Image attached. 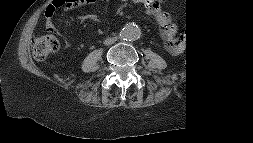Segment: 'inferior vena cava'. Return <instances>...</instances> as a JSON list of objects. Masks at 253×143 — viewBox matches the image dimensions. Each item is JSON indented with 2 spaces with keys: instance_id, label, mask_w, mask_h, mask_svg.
<instances>
[{
  "instance_id": "602c4592",
  "label": "inferior vena cava",
  "mask_w": 253,
  "mask_h": 143,
  "mask_svg": "<svg viewBox=\"0 0 253 143\" xmlns=\"http://www.w3.org/2000/svg\"><path fill=\"white\" fill-rule=\"evenodd\" d=\"M115 41H116V38L113 37V38H107V39H105L103 43H104V45L108 46V45L114 44Z\"/></svg>"
}]
</instances>
